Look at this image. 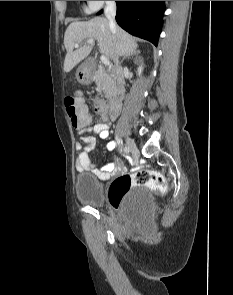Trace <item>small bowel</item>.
<instances>
[{"instance_id":"1","label":"small bowel","mask_w":233,"mask_h":295,"mask_svg":"<svg viewBox=\"0 0 233 295\" xmlns=\"http://www.w3.org/2000/svg\"><path fill=\"white\" fill-rule=\"evenodd\" d=\"M109 121L99 122L92 125H88L82 128H77L79 134L84 135L88 132H92L93 136H84L82 137L85 145L81 143L76 144V148L78 149V156L76 162V169L78 172H92L98 179L107 180L117 171H121L123 169V165L119 160L114 162L106 163L102 168L96 169L94 168L91 160L89 158V153L94 148L96 143V136L101 139H107L109 137ZM116 148L115 141H109L107 143L106 149L108 151H113Z\"/></svg>"}]
</instances>
